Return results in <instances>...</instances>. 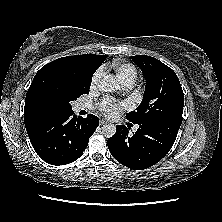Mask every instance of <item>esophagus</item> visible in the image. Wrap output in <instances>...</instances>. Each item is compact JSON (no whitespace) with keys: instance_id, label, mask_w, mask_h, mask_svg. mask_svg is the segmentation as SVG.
I'll return each mask as SVG.
<instances>
[{"instance_id":"esophagus-1","label":"esophagus","mask_w":222,"mask_h":222,"mask_svg":"<svg viewBox=\"0 0 222 222\" xmlns=\"http://www.w3.org/2000/svg\"><path fill=\"white\" fill-rule=\"evenodd\" d=\"M106 123H107L106 120H103V119H102V120L100 121V125H104V124H106Z\"/></svg>"}]
</instances>
